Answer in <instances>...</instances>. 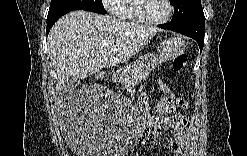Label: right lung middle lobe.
<instances>
[{"mask_svg": "<svg viewBox=\"0 0 247 156\" xmlns=\"http://www.w3.org/2000/svg\"><path fill=\"white\" fill-rule=\"evenodd\" d=\"M101 9L104 6L101 0H51L48 15L65 10Z\"/></svg>", "mask_w": 247, "mask_h": 156, "instance_id": "dd1d6c3e", "label": "right lung middle lobe"}]
</instances>
